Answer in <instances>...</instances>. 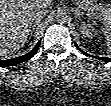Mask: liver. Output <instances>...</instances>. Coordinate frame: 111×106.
<instances>
[{
    "label": "liver",
    "mask_w": 111,
    "mask_h": 106,
    "mask_svg": "<svg viewBox=\"0 0 111 106\" xmlns=\"http://www.w3.org/2000/svg\"><path fill=\"white\" fill-rule=\"evenodd\" d=\"M38 5L47 7L50 1H0V55L2 57H8L23 47L34 20L32 10Z\"/></svg>",
    "instance_id": "1"
}]
</instances>
